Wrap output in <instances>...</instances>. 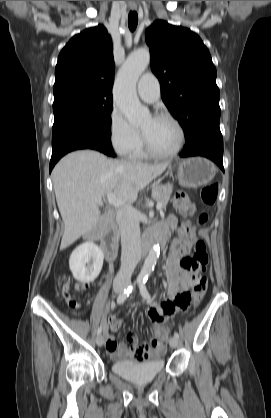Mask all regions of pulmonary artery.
Wrapping results in <instances>:
<instances>
[{"label":"pulmonary artery","instance_id":"e3ab8cb5","mask_svg":"<svg viewBox=\"0 0 271 418\" xmlns=\"http://www.w3.org/2000/svg\"><path fill=\"white\" fill-rule=\"evenodd\" d=\"M137 92L145 102L157 101L160 97V84L156 76L152 73L143 74L138 81Z\"/></svg>","mask_w":271,"mask_h":418}]
</instances>
